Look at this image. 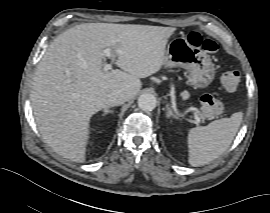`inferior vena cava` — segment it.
I'll list each match as a JSON object with an SVG mask.
<instances>
[{"label": "inferior vena cava", "instance_id": "inferior-vena-cava-1", "mask_svg": "<svg viewBox=\"0 0 270 213\" xmlns=\"http://www.w3.org/2000/svg\"><path fill=\"white\" fill-rule=\"evenodd\" d=\"M125 101H127L126 94L121 90H113L108 95V103L110 106H116L123 104Z\"/></svg>", "mask_w": 270, "mask_h": 213}]
</instances>
